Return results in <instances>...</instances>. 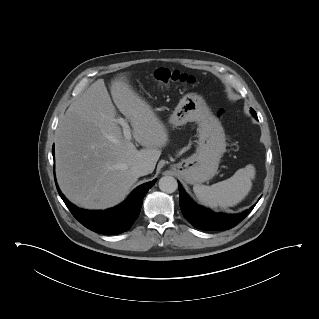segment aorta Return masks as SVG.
<instances>
[{
    "label": "aorta",
    "instance_id": "1",
    "mask_svg": "<svg viewBox=\"0 0 319 319\" xmlns=\"http://www.w3.org/2000/svg\"><path fill=\"white\" fill-rule=\"evenodd\" d=\"M178 187L177 180L172 176H163L159 180V188L165 193H173Z\"/></svg>",
    "mask_w": 319,
    "mask_h": 319
}]
</instances>
